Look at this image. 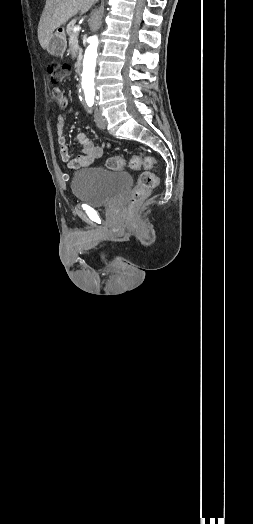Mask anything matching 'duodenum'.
Instances as JSON below:
<instances>
[{
    "label": "duodenum",
    "instance_id": "410a0bca",
    "mask_svg": "<svg viewBox=\"0 0 253 524\" xmlns=\"http://www.w3.org/2000/svg\"><path fill=\"white\" fill-rule=\"evenodd\" d=\"M82 70V62L80 59H78L75 63V72L80 73Z\"/></svg>",
    "mask_w": 253,
    "mask_h": 524
}]
</instances>
